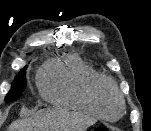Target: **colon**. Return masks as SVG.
Returning a JSON list of instances; mask_svg holds the SVG:
<instances>
[{"instance_id": "5ec220e1", "label": "colon", "mask_w": 151, "mask_h": 131, "mask_svg": "<svg viewBox=\"0 0 151 131\" xmlns=\"http://www.w3.org/2000/svg\"><path fill=\"white\" fill-rule=\"evenodd\" d=\"M94 131H112V129L107 126H98L94 129Z\"/></svg>"}]
</instances>
